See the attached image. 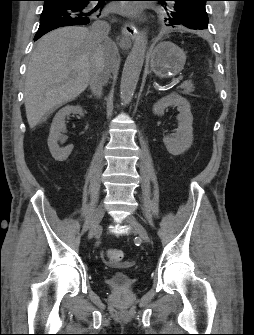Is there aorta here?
Here are the masks:
<instances>
[{"mask_svg":"<svg viewBox=\"0 0 254 335\" xmlns=\"http://www.w3.org/2000/svg\"><path fill=\"white\" fill-rule=\"evenodd\" d=\"M146 48L147 32L143 30L136 36L122 71L120 97L124 103H129L134 95L143 67Z\"/></svg>","mask_w":254,"mask_h":335,"instance_id":"1","label":"aorta"}]
</instances>
